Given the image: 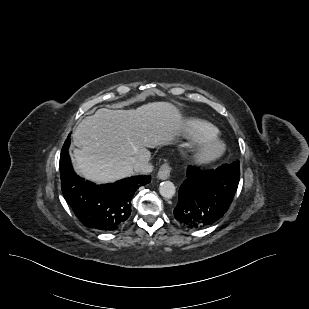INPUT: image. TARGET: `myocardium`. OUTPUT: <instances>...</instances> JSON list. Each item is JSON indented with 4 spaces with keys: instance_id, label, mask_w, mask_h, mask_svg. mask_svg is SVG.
Listing matches in <instances>:
<instances>
[{
    "instance_id": "1",
    "label": "myocardium",
    "mask_w": 309,
    "mask_h": 309,
    "mask_svg": "<svg viewBox=\"0 0 309 309\" xmlns=\"http://www.w3.org/2000/svg\"><path fill=\"white\" fill-rule=\"evenodd\" d=\"M225 145L215 137L201 139L194 148L191 161L196 165H206L223 155Z\"/></svg>"
}]
</instances>
